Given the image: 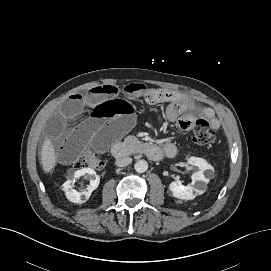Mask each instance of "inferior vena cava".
<instances>
[{"label": "inferior vena cava", "instance_id": "obj_1", "mask_svg": "<svg viewBox=\"0 0 271 271\" xmlns=\"http://www.w3.org/2000/svg\"><path fill=\"white\" fill-rule=\"evenodd\" d=\"M132 163V158L130 157H123V158H119L116 160L115 164L118 166V167H125L129 164Z\"/></svg>", "mask_w": 271, "mask_h": 271}]
</instances>
